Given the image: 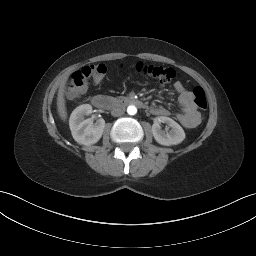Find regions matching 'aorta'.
I'll use <instances>...</instances> for the list:
<instances>
[{
  "label": "aorta",
  "instance_id": "obj_1",
  "mask_svg": "<svg viewBox=\"0 0 256 256\" xmlns=\"http://www.w3.org/2000/svg\"><path fill=\"white\" fill-rule=\"evenodd\" d=\"M127 113L129 115H135L137 113V108L134 105H129L127 107Z\"/></svg>",
  "mask_w": 256,
  "mask_h": 256
}]
</instances>
